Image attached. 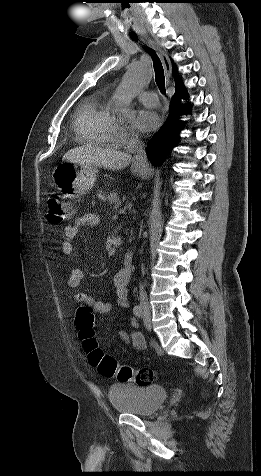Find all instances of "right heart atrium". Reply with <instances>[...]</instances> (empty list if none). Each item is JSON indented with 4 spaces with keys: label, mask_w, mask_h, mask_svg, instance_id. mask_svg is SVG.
I'll return each mask as SVG.
<instances>
[{
    "label": "right heart atrium",
    "mask_w": 261,
    "mask_h": 476,
    "mask_svg": "<svg viewBox=\"0 0 261 476\" xmlns=\"http://www.w3.org/2000/svg\"><path fill=\"white\" fill-rule=\"evenodd\" d=\"M131 136H134V132L131 128L125 125H116L114 130V139L117 141H123Z\"/></svg>",
    "instance_id": "d8ad5b80"
}]
</instances>
